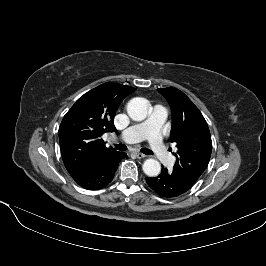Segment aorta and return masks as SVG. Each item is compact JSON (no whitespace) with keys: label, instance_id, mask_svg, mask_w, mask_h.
I'll list each match as a JSON object with an SVG mask.
<instances>
[{"label":"aorta","instance_id":"obj_1","mask_svg":"<svg viewBox=\"0 0 266 266\" xmlns=\"http://www.w3.org/2000/svg\"><path fill=\"white\" fill-rule=\"evenodd\" d=\"M127 113L134 121H142L147 117L148 107L141 98H133L128 102ZM143 171L149 177H156L161 172V165L155 159H147L143 163Z\"/></svg>","mask_w":266,"mask_h":266}]
</instances>
